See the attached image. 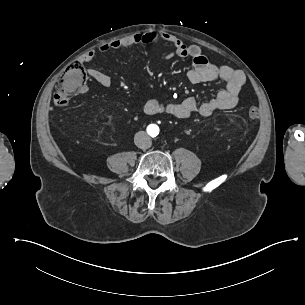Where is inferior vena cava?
Masks as SVG:
<instances>
[{"mask_svg":"<svg viewBox=\"0 0 305 305\" xmlns=\"http://www.w3.org/2000/svg\"><path fill=\"white\" fill-rule=\"evenodd\" d=\"M134 143L138 148L147 149L151 146V139L144 131H139L134 136Z\"/></svg>","mask_w":305,"mask_h":305,"instance_id":"602c4592","label":"inferior vena cava"}]
</instances>
